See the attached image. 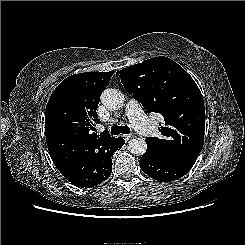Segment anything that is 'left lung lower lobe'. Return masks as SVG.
<instances>
[{
	"mask_svg": "<svg viewBox=\"0 0 245 245\" xmlns=\"http://www.w3.org/2000/svg\"><path fill=\"white\" fill-rule=\"evenodd\" d=\"M139 165L149 177L161 182H171L187 174L194 164L166 160L146 151L141 157Z\"/></svg>",
	"mask_w": 245,
	"mask_h": 245,
	"instance_id": "1",
	"label": "left lung lower lobe"
}]
</instances>
